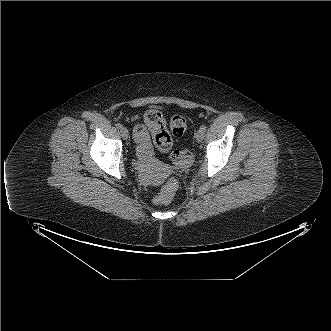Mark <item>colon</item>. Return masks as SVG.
<instances>
[{"mask_svg":"<svg viewBox=\"0 0 331 331\" xmlns=\"http://www.w3.org/2000/svg\"><path fill=\"white\" fill-rule=\"evenodd\" d=\"M143 120L145 125H138L134 132L144 140L149 130L152 134L155 146L162 152L170 151L173 144V137L175 139L180 138L187 128V118L183 114H174L171 117V133L167 130L164 117L157 110H148L143 115ZM171 158L175 164L182 167L192 163V154L187 150H176L172 153ZM175 190V180H168L155 196L154 203L157 205L168 204L172 200Z\"/></svg>","mask_w":331,"mask_h":331,"instance_id":"obj_1","label":"colon"}]
</instances>
